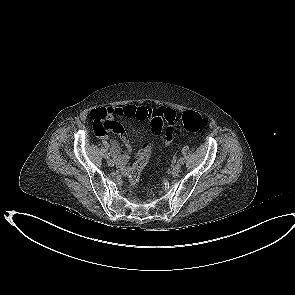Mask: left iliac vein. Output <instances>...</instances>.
<instances>
[{"label":"left iliac vein","instance_id":"left-iliac-vein-1","mask_svg":"<svg viewBox=\"0 0 295 295\" xmlns=\"http://www.w3.org/2000/svg\"><path fill=\"white\" fill-rule=\"evenodd\" d=\"M181 170V165L179 163L175 164L173 167H172V172L173 173H179Z\"/></svg>","mask_w":295,"mask_h":295}]
</instances>
